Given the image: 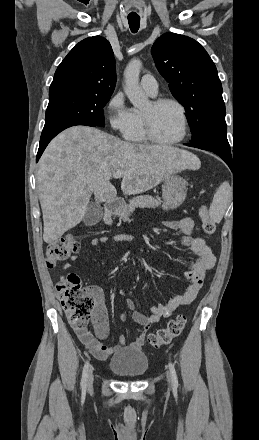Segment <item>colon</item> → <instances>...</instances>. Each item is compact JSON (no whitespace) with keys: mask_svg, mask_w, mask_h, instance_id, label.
I'll return each instance as SVG.
<instances>
[{"mask_svg":"<svg viewBox=\"0 0 259 440\" xmlns=\"http://www.w3.org/2000/svg\"><path fill=\"white\" fill-rule=\"evenodd\" d=\"M203 231L207 235L215 232L216 226L209 216L206 206L199 210ZM79 251V243L71 236L65 235L54 240L46 250V262L49 267L68 259ZM58 297L65 311L67 319L74 328H86L95 308L94 291L92 287H83L79 276L70 273L56 285ZM184 316H177L170 320L167 326L149 335L148 341L151 346L158 348L170 344L178 337L185 327Z\"/></svg>","mask_w":259,"mask_h":440,"instance_id":"colon-1","label":"colon"}]
</instances>
